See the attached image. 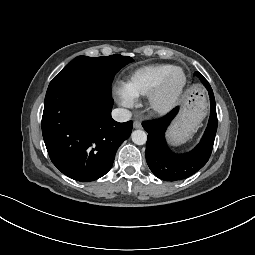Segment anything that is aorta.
<instances>
[{"instance_id": "762f6f07", "label": "aorta", "mask_w": 255, "mask_h": 255, "mask_svg": "<svg viewBox=\"0 0 255 255\" xmlns=\"http://www.w3.org/2000/svg\"><path fill=\"white\" fill-rule=\"evenodd\" d=\"M132 141L137 145H143L147 141V134L143 130H135L131 134Z\"/></svg>"}]
</instances>
